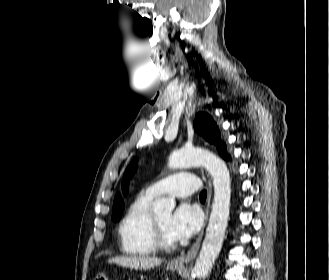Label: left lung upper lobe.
<instances>
[{"label": "left lung upper lobe", "instance_id": "obj_1", "mask_svg": "<svg viewBox=\"0 0 329 280\" xmlns=\"http://www.w3.org/2000/svg\"><path fill=\"white\" fill-rule=\"evenodd\" d=\"M194 128L196 132L202 135L204 138H206L207 141L217 145V149L223 158L225 159L229 158L226 152V146L224 143L221 142L217 125L215 124V122L213 121L212 117L209 114L205 112H199L194 120ZM137 164H138V159L135 158L127 167L124 173L123 181H122V192L125 196L128 193L129 180L133 177V175L137 170ZM123 210H124V201L122 195L120 193H117L115 195L114 204H113V214H112L113 221L116 222L120 220Z\"/></svg>", "mask_w": 329, "mask_h": 280}]
</instances>
